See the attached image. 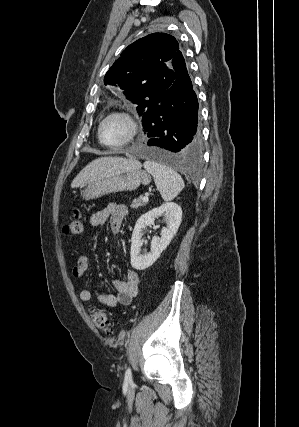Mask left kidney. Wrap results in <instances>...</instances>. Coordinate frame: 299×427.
I'll list each match as a JSON object with an SVG mask.
<instances>
[{
	"instance_id": "left-kidney-1",
	"label": "left kidney",
	"mask_w": 299,
	"mask_h": 427,
	"mask_svg": "<svg viewBox=\"0 0 299 427\" xmlns=\"http://www.w3.org/2000/svg\"><path fill=\"white\" fill-rule=\"evenodd\" d=\"M163 216L167 227L161 231V237H154L151 241L149 253L141 254V246L144 239L142 231L154 224L157 217ZM182 220L181 207L168 202L143 214L136 222L131 238V265L136 270H144L150 267L160 257L177 233Z\"/></svg>"
}]
</instances>
